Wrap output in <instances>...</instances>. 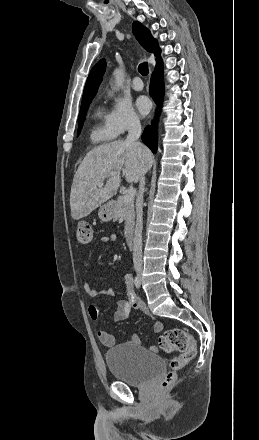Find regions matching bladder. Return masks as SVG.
Wrapping results in <instances>:
<instances>
[{
    "instance_id": "1",
    "label": "bladder",
    "mask_w": 259,
    "mask_h": 440,
    "mask_svg": "<svg viewBox=\"0 0 259 440\" xmlns=\"http://www.w3.org/2000/svg\"><path fill=\"white\" fill-rule=\"evenodd\" d=\"M105 361L113 377L131 386H143L164 371V360L135 345H120L109 350Z\"/></svg>"
}]
</instances>
